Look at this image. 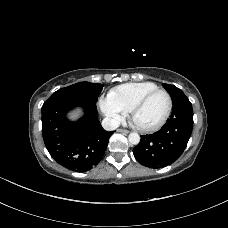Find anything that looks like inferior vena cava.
Instances as JSON below:
<instances>
[{"label": "inferior vena cava", "instance_id": "obj_1", "mask_svg": "<svg viewBox=\"0 0 228 228\" xmlns=\"http://www.w3.org/2000/svg\"><path fill=\"white\" fill-rule=\"evenodd\" d=\"M101 124H102V127L107 131L115 130L120 125V123L117 120L113 118H108V117L104 118Z\"/></svg>", "mask_w": 228, "mask_h": 228}]
</instances>
